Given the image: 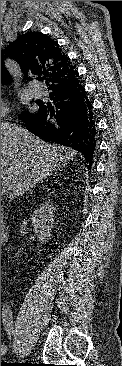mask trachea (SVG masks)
Segmentation results:
<instances>
[{"label":"trachea","mask_w":122,"mask_h":366,"mask_svg":"<svg viewBox=\"0 0 122 366\" xmlns=\"http://www.w3.org/2000/svg\"><path fill=\"white\" fill-rule=\"evenodd\" d=\"M40 81H43V78H39Z\"/></svg>","instance_id":"3493384b"}]
</instances>
